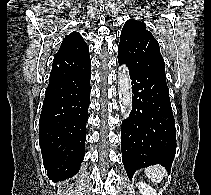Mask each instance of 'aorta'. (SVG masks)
Masks as SVG:
<instances>
[{"mask_svg": "<svg viewBox=\"0 0 211 195\" xmlns=\"http://www.w3.org/2000/svg\"><path fill=\"white\" fill-rule=\"evenodd\" d=\"M118 93L121 114L127 118L131 111L132 91L129 70L126 65H122L118 73Z\"/></svg>", "mask_w": 211, "mask_h": 195, "instance_id": "762f6f07", "label": "aorta"}]
</instances>
